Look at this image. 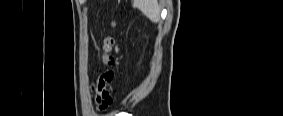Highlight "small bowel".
<instances>
[{
	"instance_id": "1",
	"label": "small bowel",
	"mask_w": 283,
	"mask_h": 116,
	"mask_svg": "<svg viewBox=\"0 0 283 116\" xmlns=\"http://www.w3.org/2000/svg\"><path fill=\"white\" fill-rule=\"evenodd\" d=\"M102 80L101 77L96 81L92 86V90L96 96V102L100 103L103 99L111 97L109 94V83L105 82L101 85Z\"/></svg>"
}]
</instances>
